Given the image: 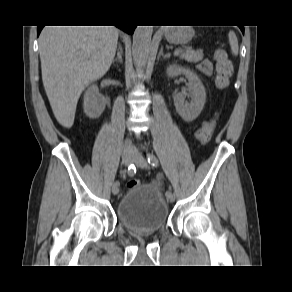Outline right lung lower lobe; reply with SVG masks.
I'll return each instance as SVG.
<instances>
[{"instance_id": "right-lung-lower-lobe-1", "label": "right lung lower lobe", "mask_w": 292, "mask_h": 292, "mask_svg": "<svg viewBox=\"0 0 292 292\" xmlns=\"http://www.w3.org/2000/svg\"><path fill=\"white\" fill-rule=\"evenodd\" d=\"M117 27H119L120 29L124 30L125 32H127L129 34H133L136 26L130 25V24H121V25H117ZM42 28H43V26H37V34L38 35L40 34Z\"/></svg>"}]
</instances>
